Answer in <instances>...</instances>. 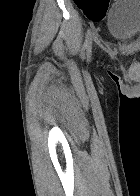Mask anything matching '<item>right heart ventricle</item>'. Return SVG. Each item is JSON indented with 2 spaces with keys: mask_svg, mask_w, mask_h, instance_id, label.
I'll list each match as a JSON object with an SVG mask.
<instances>
[{
  "mask_svg": "<svg viewBox=\"0 0 140 196\" xmlns=\"http://www.w3.org/2000/svg\"><path fill=\"white\" fill-rule=\"evenodd\" d=\"M91 192H108V191H91Z\"/></svg>",
  "mask_w": 140,
  "mask_h": 196,
  "instance_id": "e07e8e85",
  "label": "right heart ventricle"
}]
</instances>
